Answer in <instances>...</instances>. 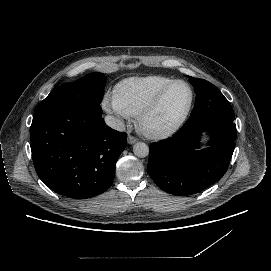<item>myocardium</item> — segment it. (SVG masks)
<instances>
[{
	"label": "myocardium",
	"mask_w": 271,
	"mask_h": 271,
	"mask_svg": "<svg viewBox=\"0 0 271 271\" xmlns=\"http://www.w3.org/2000/svg\"><path fill=\"white\" fill-rule=\"evenodd\" d=\"M178 83H185L187 84L190 89H191V101L182 115V117L173 125H171L168 128L164 129H157V130H151L147 128L146 122L149 119V117L155 113L158 108L161 106L163 100L165 99L166 95L168 92L171 90L173 86H175ZM195 98H196V92L194 86L187 80L185 79H175L172 82H170L167 86H165L159 94L155 97V99L141 112L139 115L138 121H139V126L141 130L143 131L144 134H146L150 138L154 139H163L167 138L174 133H176L187 121L193 107L195 104Z\"/></svg>",
	"instance_id": "1"
}]
</instances>
